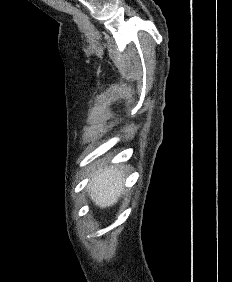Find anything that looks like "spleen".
Masks as SVG:
<instances>
[{"label":"spleen","mask_w":232,"mask_h":282,"mask_svg":"<svg viewBox=\"0 0 232 282\" xmlns=\"http://www.w3.org/2000/svg\"><path fill=\"white\" fill-rule=\"evenodd\" d=\"M123 180V168L108 169L97 174L88 186L92 200L102 208L113 205L120 196Z\"/></svg>","instance_id":"3e777b00"}]
</instances>
